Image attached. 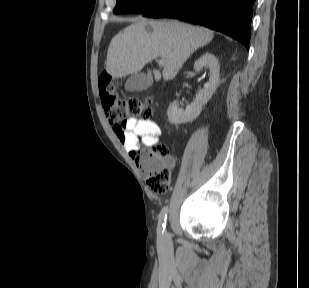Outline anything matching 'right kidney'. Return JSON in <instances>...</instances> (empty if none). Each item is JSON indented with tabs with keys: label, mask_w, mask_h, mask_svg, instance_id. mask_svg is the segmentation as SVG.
Returning a JSON list of instances; mask_svg holds the SVG:
<instances>
[{
	"label": "right kidney",
	"mask_w": 309,
	"mask_h": 288,
	"mask_svg": "<svg viewBox=\"0 0 309 288\" xmlns=\"http://www.w3.org/2000/svg\"><path fill=\"white\" fill-rule=\"evenodd\" d=\"M204 67H209L210 76L209 81L204 85V88L196 95V99L193 103L186 106L183 110L178 107L176 102L170 104L167 115L170 123L181 124L191 122L196 119L202 111L203 105H205L212 97L219 84V69L220 65L218 59L211 53L203 54L194 64V70L200 71Z\"/></svg>",
	"instance_id": "right-kidney-1"
}]
</instances>
